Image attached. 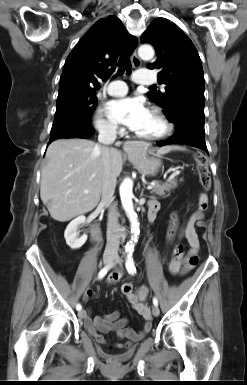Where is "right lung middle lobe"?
<instances>
[{
  "label": "right lung middle lobe",
  "mask_w": 247,
  "mask_h": 385,
  "mask_svg": "<svg viewBox=\"0 0 247 385\" xmlns=\"http://www.w3.org/2000/svg\"><path fill=\"white\" fill-rule=\"evenodd\" d=\"M97 103L95 92L73 90L59 93L52 128L75 120L91 122Z\"/></svg>",
  "instance_id": "obj_1"
}]
</instances>
